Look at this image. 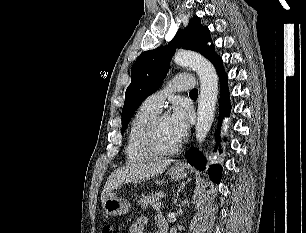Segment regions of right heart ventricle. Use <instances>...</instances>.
<instances>
[{
	"mask_svg": "<svg viewBox=\"0 0 306 233\" xmlns=\"http://www.w3.org/2000/svg\"><path fill=\"white\" fill-rule=\"evenodd\" d=\"M158 110L148 106L145 102L134 114L128 129L125 155L130 163H137L152 158L141 146V135L147 123L158 114Z\"/></svg>",
	"mask_w": 306,
	"mask_h": 233,
	"instance_id": "e07e8e85",
	"label": "right heart ventricle"
}]
</instances>
